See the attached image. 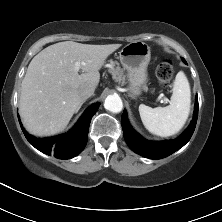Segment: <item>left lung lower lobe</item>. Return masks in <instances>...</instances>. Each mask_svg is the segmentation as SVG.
<instances>
[{
  "label": "left lung lower lobe",
  "mask_w": 222,
  "mask_h": 222,
  "mask_svg": "<svg viewBox=\"0 0 222 222\" xmlns=\"http://www.w3.org/2000/svg\"><path fill=\"white\" fill-rule=\"evenodd\" d=\"M197 117L198 98H196L195 102L194 117L182 135L175 140L152 142L144 139L131 128L127 120L126 111H124L121 117L124 139L135 153L149 159H161L179 150L190 140L196 126Z\"/></svg>",
  "instance_id": "1"
}]
</instances>
